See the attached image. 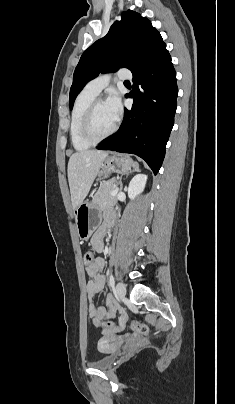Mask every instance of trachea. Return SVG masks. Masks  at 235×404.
Wrapping results in <instances>:
<instances>
[{
  "mask_svg": "<svg viewBox=\"0 0 235 404\" xmlns=\"http://www.w3.org/2000/svg\"><path fill=\"white\" fill-rule=\"evenodd\" d=\"M124 83H129V81H128V80H126Z\"/></svg>",
  "mask_w": 235,
  "mask_h": 404,
  "instance_id": "trachea-1",
  "label": "trachea"
}]
</instances>
